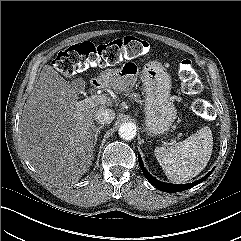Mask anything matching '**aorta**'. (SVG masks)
<instances>
[{
  "label": "aorta",
  "instance_id": "aorta-1",
  "mask_svg": "<svg viewBox=\"0 0 241 241\" xmlns=\"http://www.w3.org/2000/svg\"><path fill=\"white\" fill-rule=\"evenodd\" d=\"M136 131L133 123H124L119 128V136L124 140H132L136 136Z\"/></svg>",
  "mask_w": 241,
  "mask_h": 241
}]
</instances>
